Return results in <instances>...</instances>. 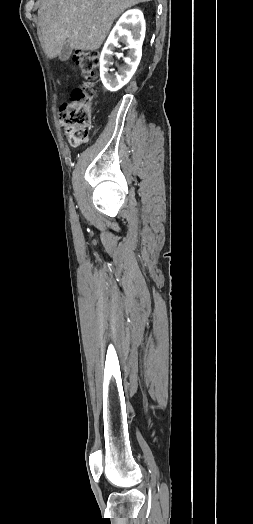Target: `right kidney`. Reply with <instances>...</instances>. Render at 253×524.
Returning <instances> with one entry per match:
<instances>
[{
    "mask_svg": "<svg viewBox=\"0 0 253 524\" xmlns=\"http://www.w3.org/2000/svg\"><path fill=\"white\" fill-rule=\"evenodd\" d=\"M145 37V20L140 10L125 12L115 27L112 29L100 56V77L105 88L111 92L118 91L129 82L134 75L142 56V43ZM123 42L129 49L128 56L124 58L125 65L119 74L108 73L113 64V50Z\"/></svg>",
    "mask_w": 253,
    "mask_h": 524,
    "instance_id": "ca27d5eb",
    "label": "right kidney"
}]
</instances>
